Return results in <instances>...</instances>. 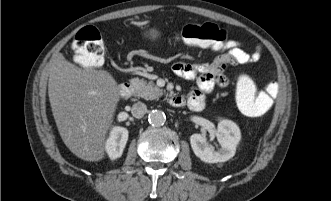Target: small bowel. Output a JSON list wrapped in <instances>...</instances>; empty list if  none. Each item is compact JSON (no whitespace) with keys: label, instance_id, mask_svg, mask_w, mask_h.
I'll list each match as a JSON object with an SVG mask.
<instances>
[{"label":"small bowel","instance_id":"c3829d8e","mask_svg":"<svg viewBox=\"0 0 331 201\" xmlns=\"http://www.w3.org/2000/svg\"><path fill=\"white\" fill-rule=\"evenodd\" d=\"M260 53V46H257L252 53H247L238 42L230 40L212 62L175 63L173 71L176 75L196 82V87L187 98L184 97V104L186 103L193 111H201L205 106L206 94L211 93L216 86L226 87L229 84V79L224 74L228 65L255 62L259 59Z\"/></svg>","mask_w":331,"mask_h":201}]
</instances>
